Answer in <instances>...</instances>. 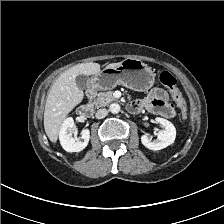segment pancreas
I'll list each match as a JSON object with an SVG mask.
<instances>
[{
  "label": "pancreas",
  "mask_w": 224,
  "mask_h": 224,
  "mask_svg": "<svg viewBox=\"0 0 224 224\" xmlns=\"http://www.w3.org/2000/svg\"><path fill=\"white\" fill-rule=\"evenodd\" d=\"M116 98L113 96V91L109 90L106 92H100L96 95V98L93 101V104L96 107H105L109 103L115 101Z\"/></svg>",
  "instance_id": "1"
}]
</instances>
